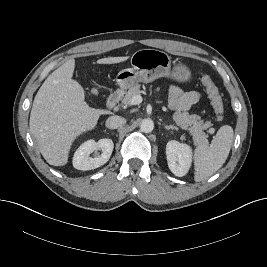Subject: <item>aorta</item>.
I'll use <instances>...</instances> for the list:
<instances>
[{
	"label": "aorta",
	"mask_w": 267,
	"mask_h": 267,
	"mask_svg": "<svg viewBox=\"0 0 267 267\" xmlns=\"http://www.w3.org/2000/svg\"><path fill=\"white\" fill-rule=\"evenodd\" d=\"M154 129V122L152 119H143L140 124V130L144 133H150Z\"/></svg>",
	"instance_id": "obj_1"
}]
</instances>
